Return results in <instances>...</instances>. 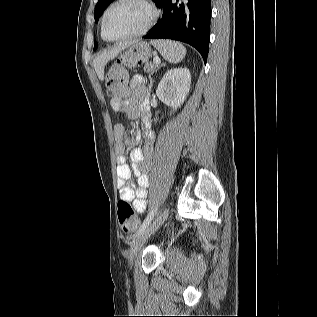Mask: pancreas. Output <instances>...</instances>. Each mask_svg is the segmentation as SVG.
I'll use <instances>...</instances> for the list:
<instances>
[{"mask_svg":"<svg viewBox=\"0 0 317 317\" xmlns=\"http://www.w3.org/2000/svg\"><path fill=\"white\" fill-rule=\"evenodd\" d=\"M157 64L154 61H148L144 69L147 73L153 74L157 70Z\"/></svg>","mask_w":317,"mask_h":317,"instance_id":"1","label":"pancreas"}]
</instances>
